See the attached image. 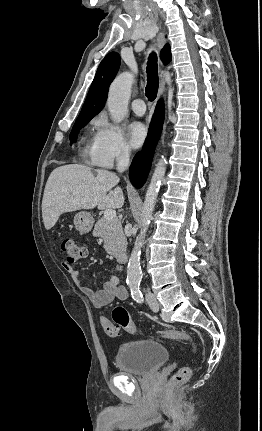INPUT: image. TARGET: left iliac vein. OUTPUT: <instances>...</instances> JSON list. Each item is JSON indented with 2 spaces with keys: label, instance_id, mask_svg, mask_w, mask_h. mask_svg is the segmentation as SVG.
I'll return each instance as SVG.
<instances>
[{
  "label": "left iliac vein",
  "instance_id": "obj_1",
  "mask_svg": "<svg viewBox=\"0 0 262 431\" xmlns=\"http://www.w3.org/2000/svg\"><path fill=\"white\" fill-rule=\"evenodd\" d=\"M147 303L154 312L159 311V303L153 294H148L146 297Z\"/></svg>",
  "mask_w": 262,
  "mask_h": 431
}]
</instances>
